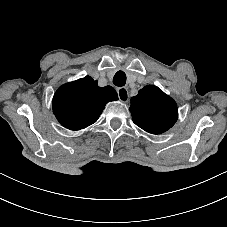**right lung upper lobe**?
Segmentation results:
<instances>
[{"label":"right lung upper lobe","instance_id":"cb5924a9","mask_svg":"<svg viewBox=\"0 0 227 227\" xmlns=\"http://www.w3.org/2000/svg\"><path fill=\"white\" fill-rule=\"evenodd\" d=\"M90 76L62 85L53 97V112L62 126L80 130L97 121L106 103L118 99L111 86L99 87Z\"/></svg>","mask_w":227,"mask_h":227}]
</instances>
